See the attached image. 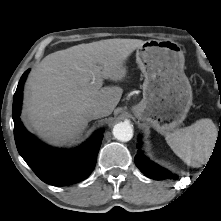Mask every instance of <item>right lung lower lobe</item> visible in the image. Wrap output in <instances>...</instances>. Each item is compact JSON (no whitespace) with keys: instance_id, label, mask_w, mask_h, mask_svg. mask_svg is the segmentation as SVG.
Segmentation results:
<instances>
[{"instance_id":"98d812e1","label":"right lung lower lobe","mask_w":221,"mask_h":221,"mask_svg":"<svg viewBox=\"0 0 221 221\" xmlns=\"http://www.w3.org/2000/svg\"><path fill=\"white\" fill-rule=\"evenodd\" d=\"M29 70L22 75L13 98L14 137L19 154L34 173L45 183L65 186L87 178L95 167L103 139L96 132L86 143L68 151L51 148L38 141L20 121L23 83Z\"/></svg>"}]
</instances>
